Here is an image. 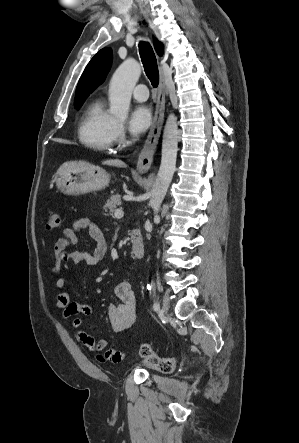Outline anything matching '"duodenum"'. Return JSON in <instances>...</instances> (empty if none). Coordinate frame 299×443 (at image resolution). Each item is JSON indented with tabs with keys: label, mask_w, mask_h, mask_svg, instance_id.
<instances>
[{
	"label": "duodenum",
	"mask_w": 299,
	"mask_h": 443,
	"mask_svg": "<svg viewBox=\"0 0 299 443\" xmlns=\"http://www.w3.org/2000/svg\"><path fill=\"white\" fill-rule=\"evenodd\" d=\"M131 240V256L134 259H139L143 256L144 246L141 232L138 229L132 230L130 234Z\"/></svg>",
	"instance_id": "1"
}]
</instances>
